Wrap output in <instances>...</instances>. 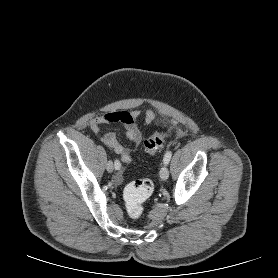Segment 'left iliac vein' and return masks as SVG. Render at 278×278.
Returning <instances> with one entry per match:
<instances>
[{
    "mask_svg": "<svg viewBox=\"0 0 278 278\" xmlns=\"http://www.w3.org/2000/svg\"><path fill=\"white\" fill-rule=\"evenodd\" d=\"M168 177H169V170L168 167L164 165L160 170V178L165 181L168 179Z\"/></svg>",
    "mask_w": 278,
    "mask_h": 278,
    "instance_id": "left-iliac-vein-1",
    "label": "left iliac vein"
}]
</instances>
